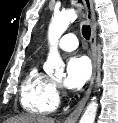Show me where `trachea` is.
<instances>
[{"instance_id": "1", "label": "trachea", "mask_w": 118, "mask_h": 123, "mask_svg": "<svg viewBox=\"0 0 118 123\" xmlns=\"http://www.w3.org/2000/svg\"><path fill=\"white\" fill-rule=\"evenodd\" d=\"M79 3H82V1L79 0ZM82 34H83V37H84L86 40H89V39H90V35H91L90 26H88V25H83V26H82Z\"/></svg>"}]
</instances>
